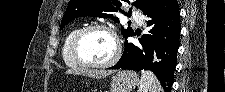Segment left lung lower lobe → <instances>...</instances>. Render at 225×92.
<instances>
[{
	"instance_id": "0a47b994",
	"label": "left lung lower lobe",
	"mask_w": 225,
	"mask_h": 92,
	"mask_svg": "<svg viewBox=\"0 0 225 92\" xmlns=\"http://www.w3.org/2000/svg\"><path fill=\"white\" fill-rule=\"evenodd\" d=\"M150 20L149 34L135 46L125 41L123 55L110 69L150 70L166 92H171L181 32L180 8L177 0H161L144 13Z\"/></svg>"
}]
</instances>
